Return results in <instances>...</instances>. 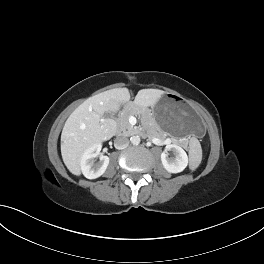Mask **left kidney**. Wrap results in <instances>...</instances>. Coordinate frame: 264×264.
<instances>
[{
    "instance_id": "left-kidney-1",
    "label": "left kidney",
    "mask_w": 264,
    "mask_h": 264,
    "mask_svg": "<svg viewBox=\"0 0 264 264\" xmlns=\"http://www.w3.org/2000/svg\"><path fill=\"white\" fill-rule=\"evenodd\" d=\"M167 151H172L174 158L168 157ZM163 167L170 173L182 172L188 165V156L186 152L176 144H168L165 151L161 154Z\"/></svg>"
}]
</instances>
